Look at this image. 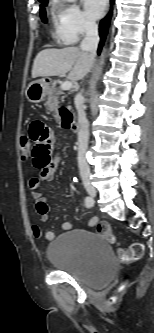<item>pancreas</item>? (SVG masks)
Masks as SVG:
<instances>
[{"label":"pancreas","instance_id":"obj_1","mask_svg":"<svg viewBox=\"0 0 154 333\" xmlns=\"http://www.w3.org/2000/svg\"><path fill=\"white\" fill-rule=\"evenodd\" d=\"M63 94L61 89L52 88L48 93V98L46 102V107L50 111H57L59 108V104L63 101L64 97L59 98Z\"/></svg>","mask_w":154,"mask_h":333}]
</instances>
